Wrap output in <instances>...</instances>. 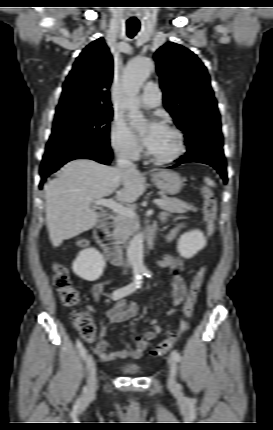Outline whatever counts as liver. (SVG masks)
Returning a JSON list of instances; mask_svg holds the SVG:
<instances>
[{
  "label": "liver",
  "mask_w": 273,
  "mask_h": 430,
  "mask_svg": "<svg viewBox=\"0 0 273 430\" xmlns=\"http://www.w3.org/2000/svg\"><path fill=\"white\" fill-rule=\"evenodd\" d=\"M145 180L136 169L110 167L90 159L66 163L45 188L46 221L53 246L96 225L99 216L90 208V200L103 199L122 184L116 200L133 203L144 193Z\"/></svg>",
  "instance_id": "liver-1"
}]
</instances>
